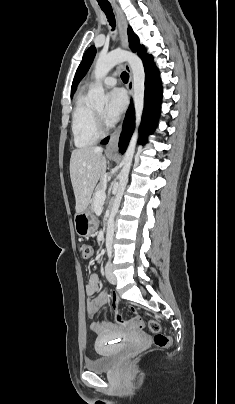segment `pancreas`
I'll return each instance as SVG.
<instances>
[{
	"label": "pancreas",
	"mask_w": 235,
	"mask_h": 404,
	"mask_svg": "<svg viewBox=\"0 0 235 404\" xmlns=\"http://www.w3.org/2000/svg\"><path fill=\"white\" fill-rule=\"evenodd\" d=\"M105 189H106V185H105L104 183H100V184L96 187L95 192H94V194H93V198H92V205H91L92 211L95 210V206H96V201H95V195H96V193H97L98 191H102V190H105Z\"/></svg>",
	"instance_id": "1"
}]
</instances>
